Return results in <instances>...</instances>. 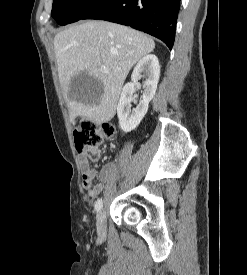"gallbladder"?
I'll use <instances>...</instances> for the list:
<instances>
[{"mask_svg": "<svg viewBox=\"0 0 247 275\" xmlns=\"http://www.w3.org/2000/svg\"><path fill=\"white\" fill-rule=\"evenodd\" d=\"M70 90L71 92L84 93L88 96H98L102 91V87L99 80L83 71L71 79Z\"/></svg>", "mask_w": 247, "mask_h": 275, "instance_id": "bac80fb5", "label": "gallbladder"}]
</instances>
